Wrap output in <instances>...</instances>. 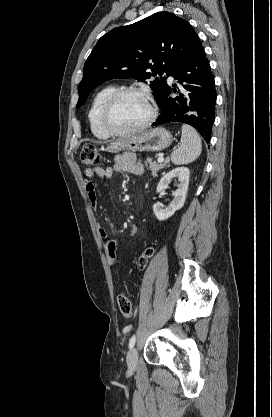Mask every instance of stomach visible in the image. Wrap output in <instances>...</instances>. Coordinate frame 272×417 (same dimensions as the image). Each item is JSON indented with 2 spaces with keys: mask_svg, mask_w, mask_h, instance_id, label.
Listing matches in <instances>:
<instances>
[{
  "mask_svg": "<svg viewBox=\"0 0 272 417\" xmlns=\"http://www.w3.org/2000/svg\"><path fill=\"white\" fill-rule=\"evenodd\" d=\"M173 141L172 134L164 127H156L143 131L130 138L123 139L107 146L108 152L128 151H162L168 148Z\"/></svg>",
  "mask_w": 272,
  "mask_h": 417,
  "instance_id": "1",
  "label": "stomach"
}]
</instances>
